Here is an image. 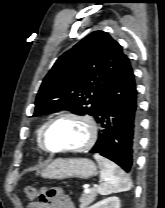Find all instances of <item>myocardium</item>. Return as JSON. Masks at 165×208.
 Wrapping results in <instances>:
<instances>
[{
	"instance_id": "myocardium-1",
	"label": "myocardium",
	"mask_w": 165,
	"mask_h": 208,
	"mask_svg": "<svg viewBox=\"0 0 165 208\" xmlns=\"http://www.w3.org/2000/svg\"><path fill=\"white\" fill-rule=\"evenodd\" d=\"M61 119H75L83 122L88 130L87 141L84 144L73 148H63V149L49 148L46 144L47 132L54 123H56ZM97 137H98L97 125L92 117L80 113L65 112L58 114L47 121L40 135V143L42 149L49 153H53V154L79 153L90 149L95 144Z\"/></svg>"
}]
</instances>
